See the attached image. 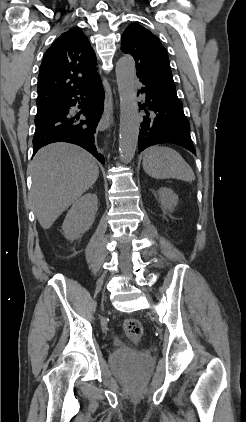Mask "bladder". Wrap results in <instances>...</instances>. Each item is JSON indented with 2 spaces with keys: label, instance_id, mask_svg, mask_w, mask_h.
I'll list each match as a JSON object with an SVG mask.
<instances>
[{
  "label": "bladder",
  "instance_id": "bladder-1",
  "mask_svg": "<svg viewBox=\"0 0 246 422\" xmlns=\"http://www.w3.org/2000/svg\"><path fill=\"white\" fill-rule=\"evenodd\" d=\"M109 360L111 365L116 368H134L139 370L149 367L152 363V357L149 353L124 347L114 349Z\"/></svg>",
  "mask_w": 246,
  "mask_h": 422
}]
</instances>
